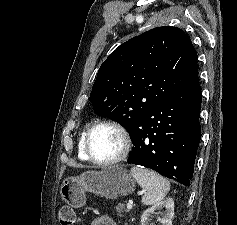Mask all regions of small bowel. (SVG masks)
I'll list each match as a JSON object with an SVG mask.
<instances>
[{
	"instance_id": "c3829d8e",
	"label": "small bowel",
	"mask_w": 237,
	"mask_h": 225,
	"mask_svg": "<svg viewBox=\"0 0 237 225\" xmlns=\"http://www.w3.org/2000/svg\"><path fill=\"white\" fill-rule=\"evenodd\" d=\"M91 225H117V223L108 216H99L93 220Z\"/></svg>"
}]
</instances>
